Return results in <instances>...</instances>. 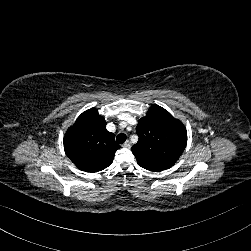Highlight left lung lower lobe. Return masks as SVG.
I'll list each match as a JSON object with an SVG mask.
<instances>
[{"label": "left lung lower lobe", "instance_id": "0a47b994", "mask_svg": "<svg viewBox=\"0 0 251 251\" xmlns=\"http://www.w3.org/2000/svg\"><path fill=\"white\" fill-rule=\"evenodd\" d=\"M143 168H145V169H147L149 171H153V172H160V171H162L160 169H154V168H150V167H143Z\"/></svg>", "mask_w": 251, "mask_h": 251}]
</instances>
